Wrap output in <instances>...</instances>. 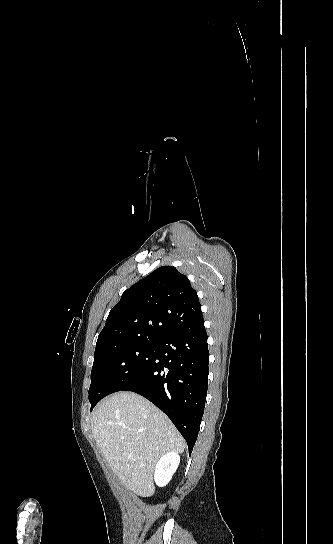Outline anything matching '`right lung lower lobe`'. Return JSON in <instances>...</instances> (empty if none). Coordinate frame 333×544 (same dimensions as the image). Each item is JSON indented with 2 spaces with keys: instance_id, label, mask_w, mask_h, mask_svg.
Here are the masks:
<instances>
[{
  "instance_id": "98d812e1",
  "label": "right lung lower lobe",
  "mask_w": 333,
  "mask_h": 544,
  "mask_svg": "<svg viewBox=\"0 0 333 544\" xmlns=\"http://www.w3.org/2000/svg\"><path fill=\"white\" fill-rule=\"evenodd\" d=\"M203 316L158 340L152 359L121 391L142 395L160 408L185 438L196 442L208 386L209 350Z\"/></svg>"
}]
</instances>
